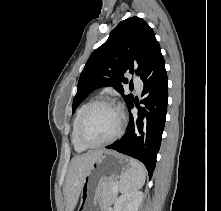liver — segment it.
<instances>
[{"label": "liver", "mask_w": 221, "mask_h": 211, "mask_svg": "<svg viewBox=\"0 0 221 211\" xmlns=\"http://www.w3.org/2000/svg\"><path fill=\"white\" fill-rule=\"evenodd\" d=\"M103 150L75 156L70 163L65 182L66 211H74L78 202L84 177Z\"/></svg>", "instance_id": "obj_1"}]
</instances>
